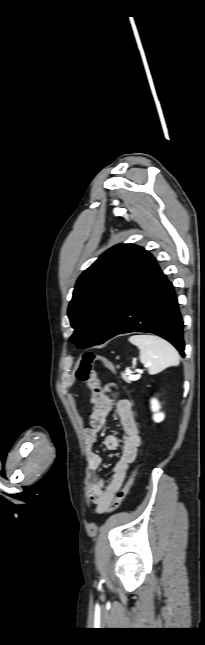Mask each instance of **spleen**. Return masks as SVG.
<instances>
[{
    "mask_svg": "<svg viewBox=\"0 0 205 645\" xmlns=\"http://www.w3.org/2000/svg\"><path fill=\"white\" fill-rule=\"evenodd\" d=\"M129 342L140 350V361L148 366L151 375L158 374L180 362L177 350L166 340L154 335H133Z\"/></svg>",
    "mask_w": 205,
    "mask_h": 645,
    "instance_id": "3e777b00",
    "label": "spleen"
}]
</instances>
